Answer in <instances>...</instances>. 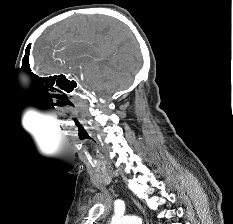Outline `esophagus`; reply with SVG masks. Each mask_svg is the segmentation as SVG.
Here are the masks:
<instances>
[{
  "label": "esophagus",
  "instance_id": "obj_1",
  "mask_svg": "<svg viewBox=\"0 0 233 224\" xmlns=\"http://www.w3.org/2000/svg\"><path fill=\"white\" fill-rule=\"evenodd\" d=\"M134 203H135V205L138 207V209L143 213V215H144L145 218H146L145 211L143 210V208H142V206L140 205V203H139L138 201H136V200H134ZM146 224H149L147 218H146Z\"/></svg>",
  "mask_w": 233,
  "mask_h": 224
}]
</instances>
